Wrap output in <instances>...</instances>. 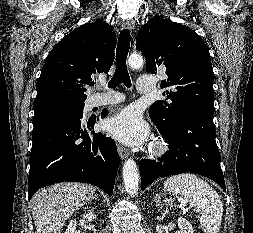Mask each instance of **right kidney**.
Returning a JSON list of instances; mask_svg holds the SVG:
<instances>
[{
  "mask_svg": "<svg viewBox=\"0 0 253 233\" xmlns=\"http://www.w3.org/2000/svg\"><path fill=\"white\" fill-rule=\"evenodd\" d=\"M83 217L89 222L96 219V215L92 211L85 213ZM75 230H76V220H71L69 225L67 226L65 233H75Z\"/></svg>",
  "mask_w": 253,
  "mask_h": 233,
  "instance_id": "ca27d5eb",
  "label": "right kidney"
}]
</instances>
